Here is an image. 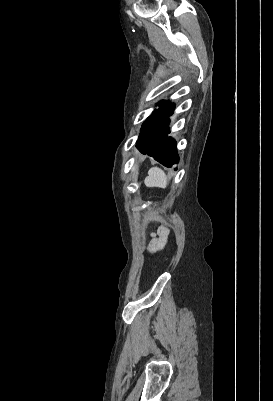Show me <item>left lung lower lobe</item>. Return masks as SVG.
Wrapping results in <instances>:
<instances>
[{"label": "left lung lower lobe", "mask_w": 273, "mask_h": 401, "mask_svg": "<svg viewBox=\"0 0 273 401\" xmlns=\"http://www.w3.org/2000/svg\"><path fill=\"white\" fill-rule=\"evenodd\" d=\"M159 106L143 123L136 147L159 163L172 167L179 159L176 141L167 136L170 133L169 117L173 114L174 104L162 100Z\"/></svg>", "instance_id": "obj_1"}]
</instances>
